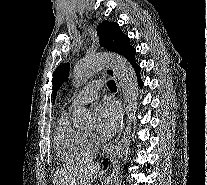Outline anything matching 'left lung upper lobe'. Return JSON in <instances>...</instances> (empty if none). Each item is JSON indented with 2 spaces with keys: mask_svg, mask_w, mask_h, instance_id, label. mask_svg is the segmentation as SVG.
I'll return each instance as SVG.
<instances>
[{
  "mask_svg": "<svg viewBox=\"0 0 207 185\" xmlns=\"http://www.w3.org/2000/svg\"><path fill=\"white\" fill-rule=\"evenodd\" d=\"M97 35L101 46L124 56L132 66H136V50L131 47L130 39L120 29L118 23L103 21L97 27ZM70 65L69 63L59 66L53 74V99L61 84L68 78Z\"/></svg>",
  "mask_w": 207,
  "mask_h": 185,
  "instance_id": "obj_1",
  "label": "left lung upper lobe"
}]
</instances>
